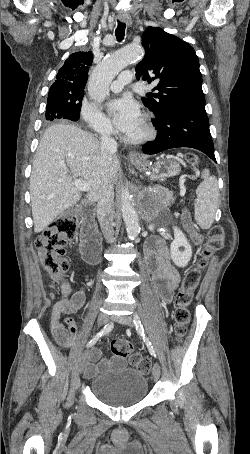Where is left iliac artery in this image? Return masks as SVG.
<instances>
[{
  "label": "left iliac artery",
  "mask_w": 250,
  "mask_h": 454,
  "mask_svg": "<svg viewBox=\"0 0 250 454\" xmlns=\"http://www.w3.org/2000/svg\"><path fill=\"white\" fill-rule=\"evenodd\" d=\"M133 318H134V324H135L137 332L143 337V340H144L145 344L147 345L151 355L156 357L155 349L153 348L149 338L145 335V331H144V328H143V325H142V322H141V319H140L139 315L137 313H135L133 315Z\"/></svg>",
  "instance_id": "1"
}]
</instances>
